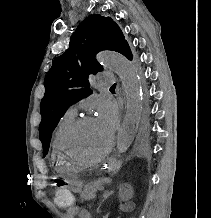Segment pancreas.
I'll list each match as a JSON object with an SVG mask.
<instances>
[{
	"instance_id": "cf45deb5",
	"label": "pancreas",
	"mask_w": 211,
	"mask_h": 218,
	"mask_svg": "<svg viewBox=\"0 0 211 218\" xmlns=\"http://www.w3.org/2000/svg\"><path fill=\"white\" fill-rule=\"evenodd\" d=\"M101 184L99 182H93V184H87V186H84L80 196L83 198V200H92V198H95L97 190H102Z\"/></svg>"
}]
</instances>
